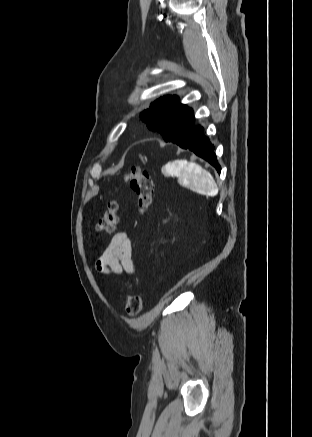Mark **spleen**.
<instances>
[{"label": "spleen", "instance_id": "spleen-1", "mask_svg": "<svg viewBox=\"0 0 312 437\" xmlns=\"http://www.w3.org/2000/svg\"><path fill=\"white\" fill-rule=\"evenodd\" d=\"M164 170L169 174L179 175L183 180L187 181L189 186L208 196H214L218 193V188L213 176L199 164L187 162L185 160H177L168 163Z\"/></svg>", "mask_w": 312, "mask_h": 437}]
</instances>
